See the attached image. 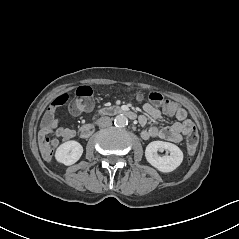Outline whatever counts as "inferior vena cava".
<instances>
[{
	"label": "inferior vena cava",
	"mask_w": 239,
	"mask_h": 239,
	"mask_svg": "<svg viewBox=\"0 0 239 239\" xmlns=\"http://www.w3.org/2000/svg\"><path fill=\"white\" fill-rule=\"evenodd\" d=\"M111 123H112V120L108 116H103V117L99 118L97 121L98 126L102 127V128L110 126Z\"/></svg>",
	"instance_id": "obj_1"
}]
</instances>
